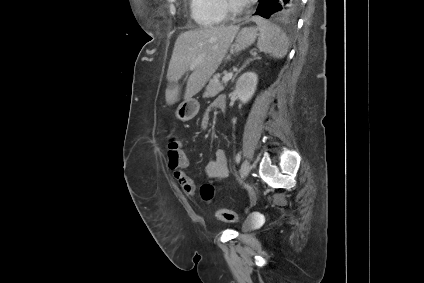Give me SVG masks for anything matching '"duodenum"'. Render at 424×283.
<instances>
[{
    "label": "duodenum",
    "instance_id": "1",
    "mask_svg": "<svg viewBox=\"0 0 424 283\" xmlns=\"http://www.w3.org/2000/svg\"><path fill=\"white\" fill-rule=\"evenodd\" d=\"M219 107L221 108V109H225V107H226V102H225V99H223V100H221V102H220V104H219Z\"/></svg>",
    "mask_w": 424,
    "mask_h": 283
}]
</instances>
